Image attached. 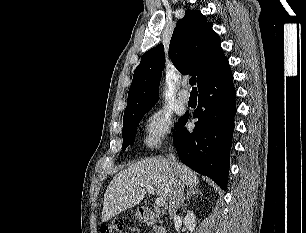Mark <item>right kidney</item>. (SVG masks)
Returning <instances> with one entry per match:
<instances>
[{
  "label": "right kidney",
  "mask_w": 306,
  "mask_h": 233,
  "mask_svg": "<svg viewBox=\"0 0 306 233\" xmlns=\"http://www.w3.org/2000/svg\"><path fill=\"white\" fill-rule=\"evenodd\" d=\"M184 223L186 227L193 232L196 227V217L193 213V211H188L187 215L184 218Z\"/></svg>",
  "instance_id": "obj_1"
}]
</instances>
